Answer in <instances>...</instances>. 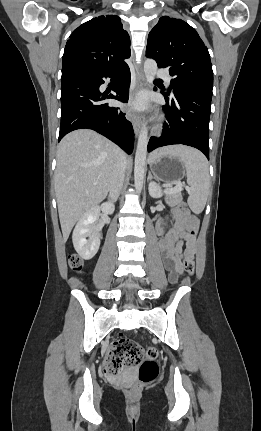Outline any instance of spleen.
<instances>
[{"mask_svg": "<svg viewBox=\"0 0 261 431\" xmlns=\"http://www.w3.org/2000/svg\"><path fill=\"white\" fill-rule=\"evenodd\" d=\"M161 156L176 157L184 165L187 183L190 186L188 205L193 212H202L210 188L208 162L204 155L196 149L175 145L156 150L151 154L149 162Z\"/></svg>", "mask_w": 261, "mask_h": 431, "instance_id": "3e777b00", "label": "spleen"}]
</instances>
